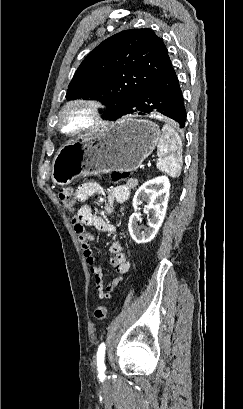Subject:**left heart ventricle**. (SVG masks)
Masks as SVG:
<instances>
[{"label":"left heart ventricle","mask_w":243,"mask_h":409,"mask_svg":"<svg viewBox=\"0 0 243 409\" xmlns=\"http://www.w3.org/2000/svg\"><path fill=\"white\" fill-rule=\"evenodd\" d=\"M89 124V116L80 108L71 109L63 118V127L67 131H77Z\"/></svg>","instance_id":"b2bd125f"}]
</instances>
